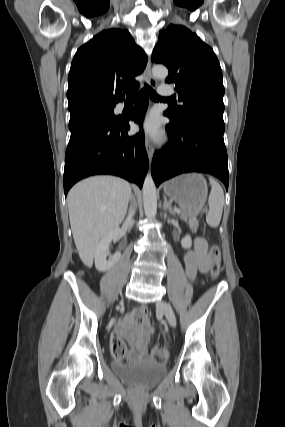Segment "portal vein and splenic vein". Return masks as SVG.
<instances>
[{
  "label": "portal vein and splenic vein",
  "mask_w": 285,
  "mask_h": 427,
  "mask_svg": "<svg viewBox=\"0 0 285 427\" xmlns=\"http://www.w3.org/2000/svg\"><path fill=\"white\" fill-rule=\"evenodd\" d=\"M174 211L178 214L182 213L179 209H176V208L174 209Z\"/></svg>",
  "instance_id": "18ae733b"
}]
</instances>
